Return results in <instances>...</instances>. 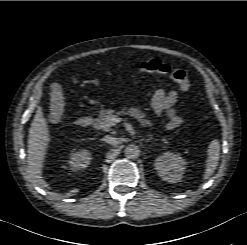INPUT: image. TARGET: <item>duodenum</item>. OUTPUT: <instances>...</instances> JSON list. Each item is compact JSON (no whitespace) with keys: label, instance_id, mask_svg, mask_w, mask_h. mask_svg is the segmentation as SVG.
I'll return each mask as SVG.
<instances>
[{"label":"duodenum","instance_id":"obj_1","mask_svg":"<svg viewBox=\"0 0 247 245\" xmlns=\"http://www.w3.org/2000/svg\"><path fill=\"white\" fill-rule=\"evenodd\" d=\"M76 126L79 128H86L88 126H90L91 124V118L88 116H80L77 120H76Z\"/></svg>","mask_w":247,"mask_h":245}]
</instances>
